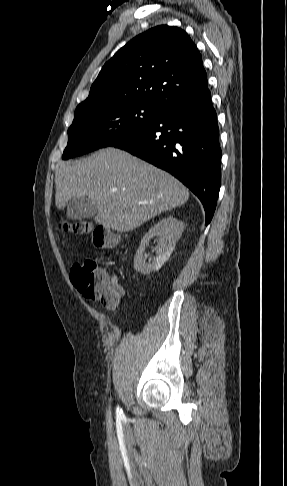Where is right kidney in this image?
I'll use <instances>...</instances> for the list:
<instances>
[{"label":"right kidney","mask_w":287,"mask_h":486,"mask_svg":"<svg viewBox=\"0 0 287 486\" xmlns=\"http://www.w3.org/2000/svg\"><path fill=\"white\" fill-rule=\"evenodd\" d=\"M184 230V223L174 217H167L160 220L145 234L134 258V269L143 275L159 270L169 259L176 242ZM158 238L155 247L156 256L146 261L145 248L149 246L151 239Z\"/></svg>","instance_id":"right-kidney-1"}]
</instances>
